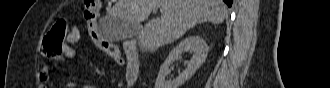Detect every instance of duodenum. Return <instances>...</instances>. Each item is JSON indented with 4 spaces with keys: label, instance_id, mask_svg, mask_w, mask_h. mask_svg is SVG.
<instances>
[{
    "label": "duodenum",
    "instance_id": "duodenum-1",
    "mask_svg": "<svg viewBox=\"0 0 330 88\" xmlns=\"http://www.w3.org/2000/svg\"><path fill=\"white\" fill-rule=\"evenodd\" d=\"M125 50L130 58V61L128 63L129 66L127 68V74H126L127 79L128 81H130V79L133 77L134 81H136L139 75V68L136 61L138 55L137 43L135 41L126 43Z\"/></svg>",
    "mask_w": 330,
    "mask_h": 88
}]
</instances>
